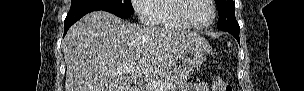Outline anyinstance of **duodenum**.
Listing matches in <instances>:
<instances>
[{
    "instance_id": "obj_1",
    "label": "duodenum",
    "mask_w": 304,
    "mask_h": 91,
    "mask_svg": "<svg viewBox=\"0 0 304 91\" xmlns=\"http://www.w3.org/2000/svg\"><path fill=\"white\" fill-rule=\"evenodd\" d=\"M132 91H141L139 88H133Z\"/></svg>"
}]
</instances>
